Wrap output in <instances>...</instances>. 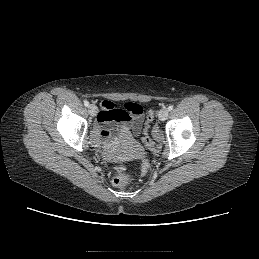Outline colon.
<instances>
[{"mask_svg": "<svg viewBox=\"0 0 259 259\" xmlns=\"http://www.w3.org/2000/svg\"><path fill=\"white\" fill-rule=\"evenodd\" d=\"M133 110H136L134 106H133ZM154 118H155L154 111L149 110L146 114L145 123L143 127L142 140L149 154L154 150V147H155L154 142L152 141L149 135L150 124L152 123ZM148 161H149L148 156L145 157L144 160L142 161L141 173H144L146 171V168L148 166ZM116 171H117V176L114 179V184L117 187H125L131 180V174L128 172L124 164L118 165L116 168Z\"/></svg>", "mask_w": 259, "mask_h": 259, "instance_id": "5ec220e1", "label": "colon"}]
</instances>
